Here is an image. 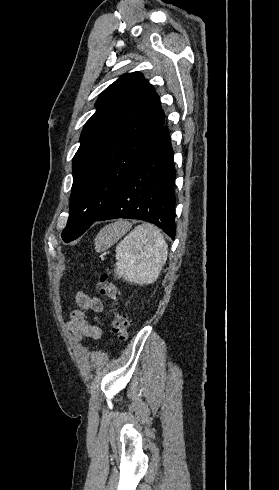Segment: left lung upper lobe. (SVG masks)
Instances as JSON below:
<instances>
[{
  "instance_id": "left-lung-upper-lobe-1",
  "label": "left lung upper lobe",
  "mask_w": 279,
  "mask_h": 490,
  "mask_svg": "<svg viewBox=\"0 0 279 490\" xmlns=\"http://www.w3.org/2000/svg\"><path fill=\"white\" fill-rule=\"evenodd\" d=\"M73 158L70 215L62 239L81 236L110 207L140 155L164 126L160 98L139 72L99 96Z\"/></svg>"
}]
</instances>
